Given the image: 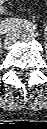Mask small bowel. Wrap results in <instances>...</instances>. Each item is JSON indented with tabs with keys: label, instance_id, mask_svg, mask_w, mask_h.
I'll use <instances>...</instances> for the list:
<instances>
[{
	"label": "small bowel",
	"instance_id": "1",
	"mask_svg": "<svg viewBox=\"0 0 47 129\" xmlns=\"http://www.w3.org/2000/svg\"><path fill=\"white\" fill-rule=\"evenodd\" d=\"M11 0H0V11L3 14H10L11 11L7 8L6 4L9 3ZM16 3L20 4L21 0H15Z\"/></svg>",
	"mask_w": 47,
	"mask_h": 129
}]
</instances>
